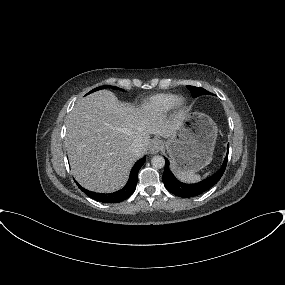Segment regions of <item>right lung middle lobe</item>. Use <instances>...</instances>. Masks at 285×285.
Instances as JSON below:
<instances>
[{
    "mask_svg": "<svg viewBox=\"0 0 285 285\" xmlns=\"http://www.w3.org/2000/svg\"><path fill=\"white\" fill-rule=\"evenodd\" d=\"M106 87H111V86H100V87H98V88H96V89H93V90H92V91H90L88 94H90V93H92V92H94V91H97V90H100V89L106 88ZM112 88H117V87H112Z\"/></svg>",
    "mask_w": 285,
    "mask_h": 285,
    "instance_id": "obj_1",
    "label": "right lung middle lobe"
}]
</instances>
